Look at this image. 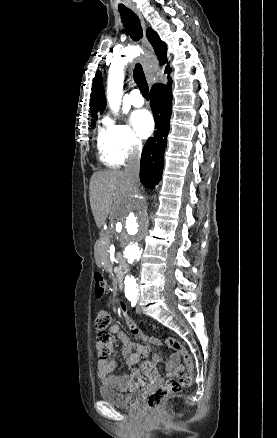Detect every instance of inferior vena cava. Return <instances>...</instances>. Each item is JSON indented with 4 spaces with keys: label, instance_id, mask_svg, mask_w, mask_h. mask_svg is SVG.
I'll use <instances>...</instances> for the list:
<instances>
[{
    "label": "inferior vena cava",
    "instance_id": "obj_1",
    "mask_svg": "<svg viewBox=\"0 0 277 438\" xmlns=\"http://www.w3.org/2000/svg\"><path fill=\"white\" fill-rule=\"evenodd\" d=\"M139 172H140V152H134L130 158H128L127 166L125 168V174L131 188H135L139 184Z\"/></svg>",
    "mask_w": 277,
    "mask_h": 438
}]
</instances>
